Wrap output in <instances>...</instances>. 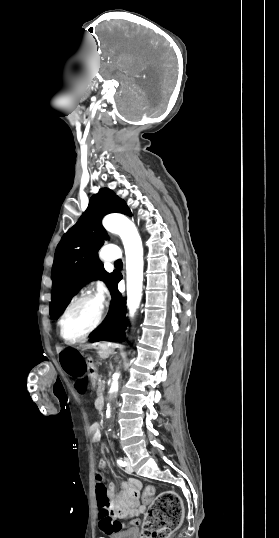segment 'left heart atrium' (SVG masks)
<instances>
[{"instance_id":"left-heart-atrium-1","label":"left heart atrium","mask_w":279,"mask_h":538,"mask_svg":"<svg viewBox=\"0 0 279 538\" xmlns=\"http://www.w3.org/2000/svg\"><path fill=\"white\" fill-rule=\"evenodd\" d=\"M99 294H100V298H101L102 300H104V299L106 298V296H107V294H108V290H107V288H106L104 285H101V286L99 287Z\"/></svg>"}]
</instances>
